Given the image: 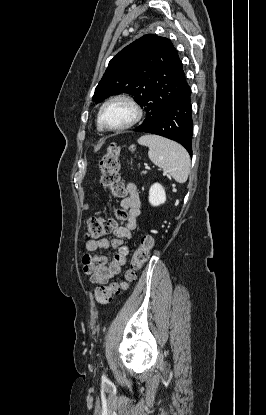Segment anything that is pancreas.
Segmentation results:
<instances>
[{
  "label": "pancreas",
  "instance_id": "pancreas-1",
  "mask_svg": "<svg viewBox=\"0 0 266 415\" xmlns=\"http://www.w3.org/2000/svg\"><path fill=\"white\" fill-rule=\"evenodd\" d=\"M142 174H146V172H145V171H143V172H142Z\"/></svg>",
  "mask_w": 266,
  "mask_h": 415
}]
</instances>
